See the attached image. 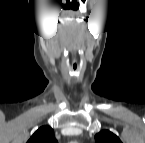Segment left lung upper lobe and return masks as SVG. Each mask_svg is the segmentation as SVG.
<instances>
[{
    "label": "left lung upper lobe",
    "mask_w": 145,
    "mask_h": 143,
    "mask_svg": "<svg viewBox=\"0 0 145 143\" xmlns=\"http://www.w3.org/2000/svg\"><path fill=\"white\" fill-rule=\"evenodd\" d=\"M96 143H121L120 139L108 130H103L95 135Z\"/></svg>",
    "instance_id": "1"
}]
</instances>
